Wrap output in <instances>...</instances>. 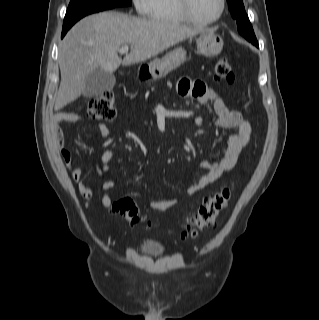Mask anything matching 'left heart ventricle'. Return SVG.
Returning a JSON list of instances; mask_svg holds the SVG:
<instances>
[{"label":"left heart ventricle","mask_w":319,"mask_h":320,"mask_svg":"<svg viewBox=\"0 0 319 320\" xmlns=\"http://www.w3.org/2000/svg\"><path fill=\"white\" fill-rule=\"evenodd\" d=\"M192 9L197 18L209 20L220 10V0H192Z\"/></svg>","instance_id":"b2bd125f"}]
</instances>
